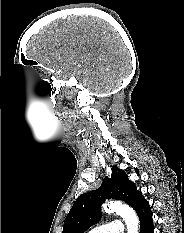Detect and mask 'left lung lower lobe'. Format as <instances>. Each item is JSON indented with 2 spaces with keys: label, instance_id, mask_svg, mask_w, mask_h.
I'll return each instance as SVG.
<instances>
[{
  "label": "left lung lower lobe",
  "instance_id": "0a47b994",
  "mask_svg": "<svg viewBox=\"0 0 184 233\" xmlns=\"http://www.w3.org/2000/svg\"><path fill=\"white\" fill-rule=\"evenodd\" d=\"M133 209L140 220V233H154L151 208L143 196L135 203Z\"/></svg>",
  "mask_w": 184,
  "mask_h": 233
}]
</instances>
